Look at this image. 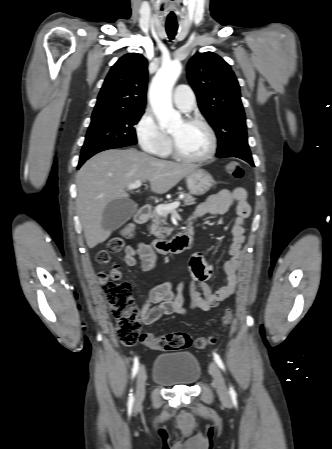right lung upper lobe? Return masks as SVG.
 <instances>
[{"label": "right lung upper lobe", "mask_w": 332, "mask_h": 449, "mask_svg": "<svg viewBox=\"0 0 332 449\" xmlns=\"http://www.w3.org/2000/svg\"><path fill=\"white\" fill-rule=\"evenodd\" d=\"M147 60L138 53L121 57L110 69L93 114L144 111L147 92Z\"/></svg>", "instance_id": "obj_1"}]
</instances>
